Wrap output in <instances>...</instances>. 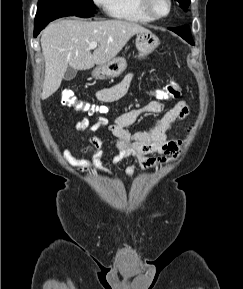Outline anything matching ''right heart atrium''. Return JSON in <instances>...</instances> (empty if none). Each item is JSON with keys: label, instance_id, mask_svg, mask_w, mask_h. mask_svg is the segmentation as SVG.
Returning a JSON list of instances; mask_svg holds the SVG:
<instances>
[{"label": "right heart atrium", "instance_id": "right-heart-atrium-1", "mask_svg": "<svg viewBox=\"0 0 243 289\" xmlns=\"http://www.w3.org/2000/svg\"><path fill=\"white\" fill-rule=\"evenodd\" d=\"M93 2L100 8L108 10L110 7L111 0H93Z\"/></svg>", "mask_w": 243, "mask_h": 289}]
</instances>
